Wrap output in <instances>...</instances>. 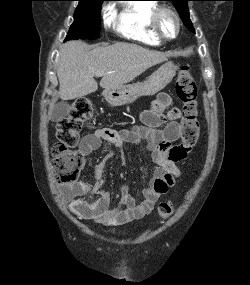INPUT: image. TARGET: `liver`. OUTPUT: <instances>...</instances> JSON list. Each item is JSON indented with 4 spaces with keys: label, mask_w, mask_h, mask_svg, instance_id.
Instances as JSON below:
<instances>
[{
    "label": "liver",
    "mask_w": 250,
    "mask_h": 285,
    "mask_svg": "<svg viewBox=\"0 0 250 285\" xmlns=\"http://www.w3.org/2000/svg\"><path fill=\"white\" fill-rule=\"evenodd\" d=\"M166 57L164 53L131 43L119 42L92 49L82 41H69L59 51V96L62 100H72L95 92L97 73H103L102 88L116 89L164 62Z\"/></svg>",
    "instance_id": "6515ba94"
}]
</instances>
